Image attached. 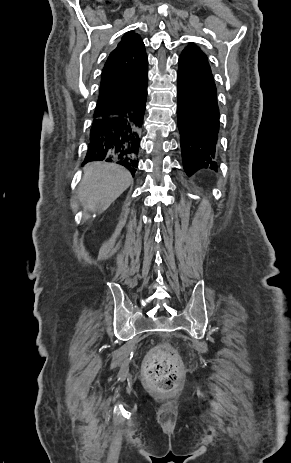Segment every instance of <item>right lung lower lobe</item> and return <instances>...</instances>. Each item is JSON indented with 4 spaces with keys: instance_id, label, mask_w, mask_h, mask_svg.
I'll use <instances>...</instances> for the list:
<instances>
[{
    "instance_id": "obj_1",
    "label": "right lung lower lobe",
    "mask_w": 291,
    "mask_h": 463,
    "mask_svg": "<svg viewBox=\"0 0 291 463\" xmlns=\"http://www.w3.org/2000/svg\"><path fill=\"white\" fill-rule=\"evenodd\" d=\"M147 77L139 89L106 116L94 119L83 164L107 161L126 167L134 176L138 168L140 131L147 99Z\"/></svg>"
}]
</instances>
